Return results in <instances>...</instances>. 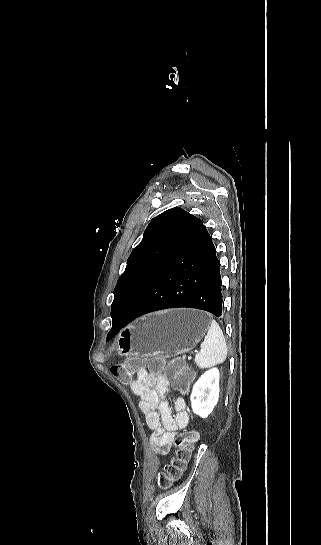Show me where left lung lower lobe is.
<instances>
[{"instance_id": "left-lung-lower-lobe-1", "label": "left lung lower lobe", "mask_w": 321, "mask_h": 545, "mask_svg": "<svg viewBox=\"0 0 321 545\" xmlns=\"http://www.w3.org/2000/svg\"><path fill=\"white\" fill-rule=\"evenodd\" d=\"M188 307L222 314L220 262L202 221L191 215L162 268L128 314L112 316V333L157 310Z\"/></svg>"}]
</instances>
